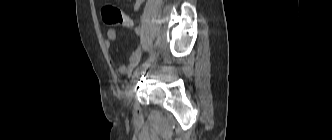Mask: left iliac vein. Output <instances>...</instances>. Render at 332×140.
<instances>
[{"instance_id": "1", "label": "left iliac vein", "mask_w": 332, "mask_h": 140, "mask_svg": "<svg viewBox=\"0 0 332 140\" xmlns=\"http://www.w3.org/2000/svg\"><path fill=\"white\" fill-rule=\"evenodd\" d=\"M156 61V56L155 58L149 63V65L146 68H143L141 70H139L137 73L134 74L133 78H132V84H135L137 82V80L139 79L140 75L142 73H144L147 68H149L154 62ZM134 96V87L132 86L131 89L129 90L128 94H127V99H128V103L131 101V99Z\"/></svg>"}]
</instances>
